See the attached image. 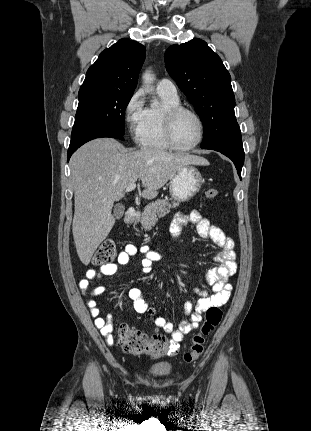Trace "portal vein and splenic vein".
Listing matches in <instances>:
<instances>
[{"mask_svg":"<svg viewBox=\"0 0 311 431\" xmlns=\"http://www.w3.org/2000/svg\"><path fill=\"white\" fill-rule=\"evenodd\" d=\"M136 184H130V186H127L125 192H132V190H135Z\"/></svg>","mask_w":311,"mask_h":431,"instance_id":"1","label":"portal vein and splenic vein"}]
</instances>
